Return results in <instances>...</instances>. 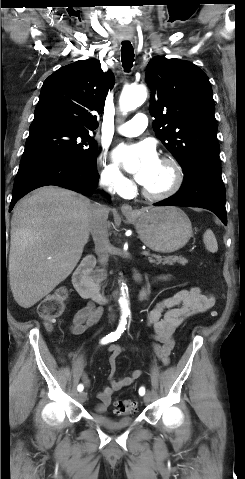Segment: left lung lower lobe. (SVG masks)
Segmentation results:
<instances>
[{
    "mask_svg": "<svg viewBox=\"0 0 245 479\" xmlns=\"http://www.w3.org/2000/svg\"><path fill=\"white\" fill-rule=\"evenodd\" d=\"M218 158L205 159L184 171L180 190L155 206H186L205 208L215 213L226 225L225 186Z\"/></svg>",
    "mask_w": 245,
    "mask_h": 479,
    "instance_id": "obj_1",
    "label": "left lung lower lobe"
}]
</instances>
